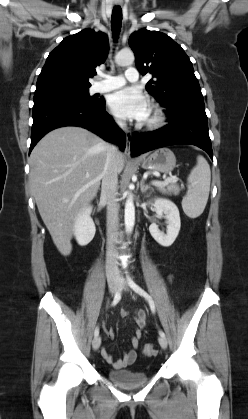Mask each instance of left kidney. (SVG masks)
Segmentation results:
<instances>
[{
  "label": "left kidney",
  "mask_w": 248,
  "mask_h": 419,
  "mask_svg": "<svg viewBox=\"0 0 248 419\" xmlns=\"http://www.w3.org/2000/svg\"><path fill=\"white\" fill-rule=\"evenodd\" d=\"M154 207L158 215L165 214L168 223L167 234L161 232L155 223L149 226L150 234L160 245L168 247L173 244L180 231L179 210L172 201L165 198L154 199Z\"/></svg>",
  "instance_id": "left-kidney-1"
}]
</instances>
